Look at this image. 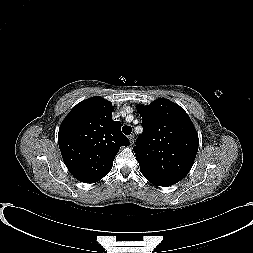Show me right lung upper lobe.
Returning a JSON list of instances; mask_svg holds the SVG:
<instances>
[{"mask_svg":"<svg viewBox=\"0 0 253 253\" xmlns=\"http://www.w3.org/2000/svg\"><path fill=\"white\" fill-rule=\"evenodd\" d=\"M112 104L92 97L78 103L63 120L58 133L59 148L70 173L84 183L106 176L121 146L129 140L121 123L113 121Z\"/></svg>","mask_w":253,"mask_h":253,"instance_id":"1","label":"right lung upper lobe"}]
</instances>
